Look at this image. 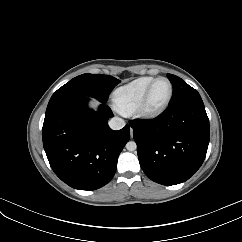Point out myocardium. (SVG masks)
<instances>
[{
    "instance_id": "myocardium-1",
    "label": "myocardium",
    "mask_w": 242,
    "mask_h": 242,
    "mask_svg": "<svg viewBox=\"0 0 242 242\" xmlns=\"http://www.w3.org/2000/svg\"><path fill=\"white\" fill-rule=\"evenodd\" d=\"M160 80H165L168 82L169 88H170L169 94H168L167 98L161 104L153 106L150 104V95H151L154 85ZM173 92H174V88H173V84L170 81V79H168L167 77H163V76L155 78L150 83L147 90L145 91L141 101L135 108V112L141 117H153V116L161 113L169 105V103L173 97Z\"/></svg>"
}]
</instances>
